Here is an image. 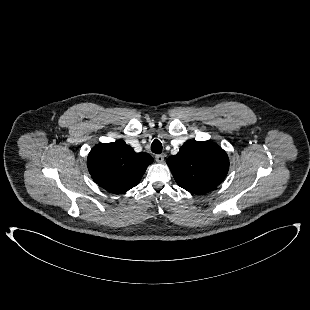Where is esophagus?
<instances>
[{
  "label": "esophagus",
  "instance_id": "obj_1",
  "mask_svg": "<svg viewBox=\"0 0 310 310\" xmlns=\"http://www.w3.org/2000/svg\"><path fill=\"white\" fill-rule=\"evenodd\" d=\"M155 160L158 162V163H162L164 161V156L161 155V154H158L155 156Z\"/></svg>",
  "mask_w": 310,
  "mask_h": 310
}]
</instances>
